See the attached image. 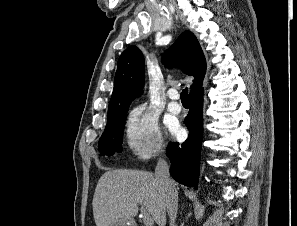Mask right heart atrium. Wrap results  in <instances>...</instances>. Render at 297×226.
I'll use <instances>...</instances> for the list:
<instances>
[{
    "instance_id": "d8ad5b80",
    "label": "right heart atrium",
    "mask_w": 297,
    "mask_h": 226,
    "mask_svg": "<svg viewBox=\"0 0 297 226\" xmlns=\"http://www.w3.org/2000/svg\"><path fill=\"white\" fill-rule=\"evenodd\" d=\"M129 149L141 158H150L164 150V140L155 116L142 104L129 113L126 123Z\"/></svg>"
}]
</instances>
